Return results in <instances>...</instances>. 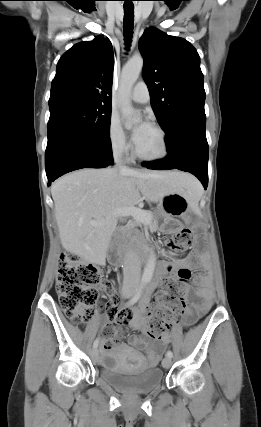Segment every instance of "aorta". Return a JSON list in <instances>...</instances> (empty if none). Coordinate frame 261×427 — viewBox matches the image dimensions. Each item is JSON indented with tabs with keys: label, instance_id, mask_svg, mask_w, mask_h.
Listing matches in <instances>:
<instances>
[{
	"label": "aorta",
	"instance_id": "obj_1",
	"mask_svg": "<svg viewBox=\"0 0 261 427\" xmlns=\"http://www.w3.org/2000/svg\"><path fill=\"white\" fill-rule=\"evenodd\" d=\"M143 63V58L141 56H134L127 62V64L122 69L119 88L120 110L121 113L130 120V122L127 124L128 127H130L133 123L135 124L140 121L138 118L133 117L134 109L131 105L130 95L132 88L142 71ZM155 265L156 256L152 252L149 255L148 261L143 271V281L149 282L152 279L155 270Z\"/></svg>",
	"mask_w": 261,
	"mask_h": 427
}]
</instances>
